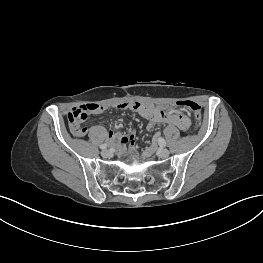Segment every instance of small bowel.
Here are the masks:
<instances>
[{"label":"small bowel","mask_w":263,"mask_h":263,"mask_svg":"<svg viewBox=\"0 0 263 263\" xmlns=\"http://www.w3.org/2000/svg\"><path fill=\"white\" fill-rule=\"evenodd\" d=\"M97 105L98 104L95 103H89L80 107L89 108L90 110L88 113L102 112L104 107L101 105H99V108L93 109V107H98ZM117 107L119 109H130L147 119L149 122L148 129H151L156 123L173 124L181 130H186L190 125V120L185 114L176 111H166L161 107H157L149 103L131 100L129 102L121 103L117 105ZM109 139L118 145V151L121 152L126 144L134 145L135 135L134 133L123 135L117 132H110Z\"/></svg>","instance_id":"obj_1"}]
</instances>
